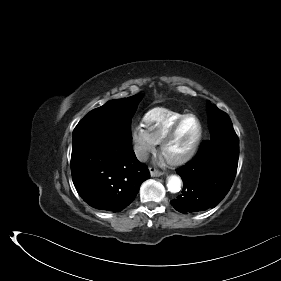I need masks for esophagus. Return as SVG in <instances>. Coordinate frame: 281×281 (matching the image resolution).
Wrapping results in <instances>:
<instances>
[{"mask_svg":"<svg viewBox=\"0 0 281 281\" xmlns=\"http://www.w3.org/2000/svg\"><path fill=\"white\" fill-rule=\"evenodd\" d=\"M163 174H164V172H162V171H159L155 168H150L151 177H159V176H162Z\"/></svg>","mask_w":281,"mask_h":281,"instance_id":"34e87169","label":"esophagus"}]
</instances>
